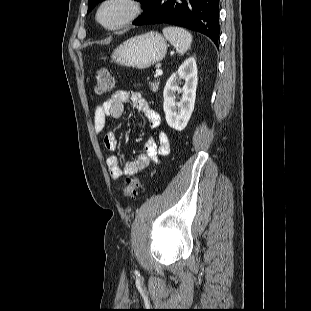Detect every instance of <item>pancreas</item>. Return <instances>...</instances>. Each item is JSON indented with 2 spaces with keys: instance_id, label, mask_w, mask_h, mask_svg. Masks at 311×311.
<instances>
[{
  "instance_id": "cf45deb5",
  "label": "pancreas",
  "mask_w": 311,
  "mask_h": 311,
  "mask_svg": "<svg viewBox=\"0 0 311 311\" xmlns=\"http://www.w3.org/2000/svg\"><path fill=\"white\" fill-rule=\"evenodd\" d=\"M159 84L160 82L158 80H153L152 82L149 83L150 88L153 92H157L159 89Z\"/></svg>"
}]
</instances>
